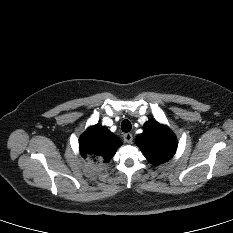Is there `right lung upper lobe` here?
<instances>
[{
	"label": "right lung upper lobe",
	"mask_w": 233,
	"mask_h": 233,
	"mask_svg": "<svg viewBox=\"0 0 233 233\" xmlns=\"http://www.w3.org/2000/svg\"><path fill=\"white\" fill-rule=\"evenodd\" d=\"M122 142L106 127L95 125L80 137V154L91 162L108 163Z\"/></svg>",
	"instance_id": "cb5924a9"
}]
</instances>
